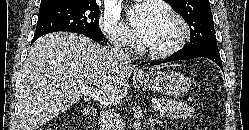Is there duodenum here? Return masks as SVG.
<instances>
[{
  "mask_svg": "<svg viewBox=\"0 0 249 130\" xmlns=\"http://www.w3.org/2000/svg\"><path fill=\"white\" fill-rule=\"evenodd\" d=\"M92 114H94V110H93L92 108L87 109V110L85 111V116H86V117H89V116H91Z\"/></svg>",
  "mask_w": 249,
  "mask_h": 130,
  "instance_id": "1",
  "label": "duodenum"
}]
</instances>
